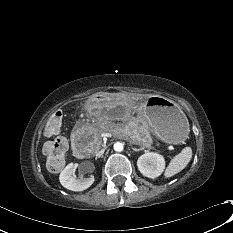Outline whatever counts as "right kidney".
<instances>
[{"instance_id":"1","label":"right kidney","mask_w":233,"mask_h":233,"mask_svg":"<svg viewBox=\"0 0 233 233\" xmlns=\"http://www.w3.org/2000/svg\"><path fill=\"white\" fill-rule=\"evenodd\" d=\"M74 164L69 163L64 170L60 173L59 180L63 187L71 191H83L89 188L93 182L94 177L89 178H75L73 176Z\"/></svg>"}]
</instances>
